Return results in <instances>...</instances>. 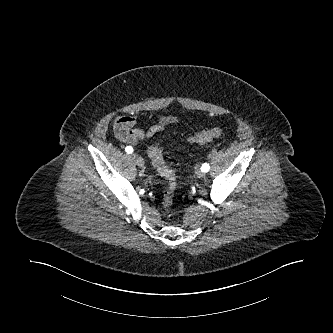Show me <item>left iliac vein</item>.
Masks as SVG:
<instances>
[{
  "instance_id": "left-iliac-vein-1",
  "label": "left iliac vein",
  "mask_w": 333,
  "mask_h": 333,
  "mask_svg": "<svg viewBox=\"0 0 333 333\" xmlns=\"http://www.w3.org/2000/svg\"><path fill=\"white\" fill-rule=\"evenodd\" d=\"M196 176L198 177V178H202V177H204L205 176V173L201 170V168H197L196 169Z\"/></svg>"
}]
</instances>
